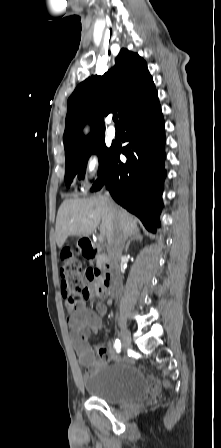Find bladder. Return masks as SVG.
I'll return each mask as SVG.
<instances>
[{
    "label": "bladder",
    "mask_w": 221,
    "mask_h": 448,
    "mask_svg": "<svg viewBox=\"0 0 221 448\" xmlns=\"http://www.w3.org/2000/svg\"><path fill=\"white\" fill-rule=\"evenodd\" d=\"M82 384L90 397L110 404L135 401L151 392L149 380L142 371L120 364L97 369L84 376Z\"/></svg>",
    "instance_id": "1"
}]
</instances>
